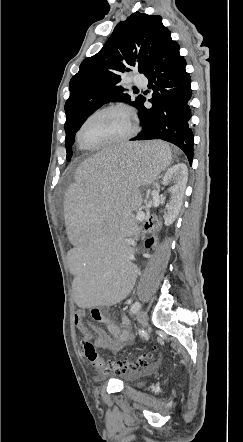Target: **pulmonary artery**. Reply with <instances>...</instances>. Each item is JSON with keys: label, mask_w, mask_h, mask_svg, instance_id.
Here are the masks:
<instances>
[{"label": "pulmonary artery", "mask_w": 243, "mask_h": 442, "mask_svg": "<svg viewBox=\"0 0 243 442\" xmlns=\"http://www.w3.org/2000/svg\"><path fill=\"white\" fill-rule=\"evenodd\" d=\"M134 83L139 87H145L147 85V81L144 79L136 78L134 79Z\"/></svg>", "instance_id": "obj_1"}]
</instances>
